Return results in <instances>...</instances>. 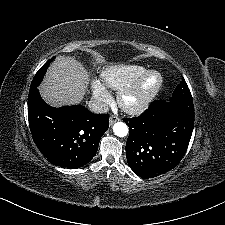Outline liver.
<instances>
[{
	"label": "liver",
	"instance_id": "liver-1",
	"mask_svg": "<svg viewBox=\"0 0 225 225\" xmlns=\"http://www.w3.org/2000/svg\"><path fill=\"white\" fill-rule=\"evenodd\" d=\"M87 83L84 67L71 57L61 56L48 69L40 92L54 106L78 104L85 95Z\"/></svg>",
	"mask_w": 225,
	"mask_h": 225
}]
</instances>
